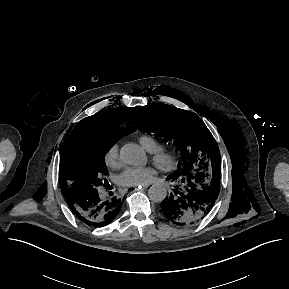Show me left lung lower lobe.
<instances>
[{"label":"left lung lower lobe","mask_w":289,"mask_h":289,"mask_svg":"<svg viewBox=\"0 0 289 289\" xmlns=\"http://www.w3.org/2000/svg\"><path fill=\"white\" fill-rule=\"evenodd\" d=\"M178 183L174 193L162 201V212L177 225L194 224L213 207L218 197L219 176L204 178L201 174H195L178 180Z\"/></svg>","instance_id":"1"}]
</instances>
